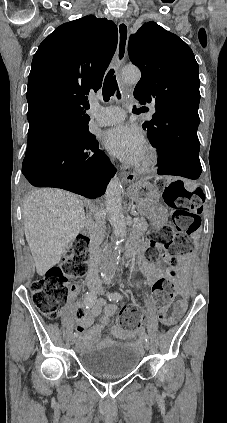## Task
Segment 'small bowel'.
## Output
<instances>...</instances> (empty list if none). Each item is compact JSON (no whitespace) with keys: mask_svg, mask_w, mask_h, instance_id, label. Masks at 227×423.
Segmentation results:
<instances>
[{"mask_svg":"<svg viewBox=\"0 0 227 423\" xmlns=\"http://www.w3.org/2000/svg\"><path fill=\"white\" fill-rule=\"evenodd\" d=\"M139 267L143 272L146 283L148 285H154L163 275L164 271L153 261L142 256L139 259ZM181 296L182 298L175 302L173 307V312L168 315L167 311H160L158 315L150 309L146 317L151 324H153L157 319L166 326L174 325L183 315L188 299V293L186 288V282L181 281ZM76 290V287H73ZM117 307L115 304H106L104 301L99 300L93 306L89 307L88 311L81 313L80 321L78 323V332L80 337L77 343L79 349H86L94 345L99 339L103 329L109 324L110 319L115 315ZM103 312V316L99 319L97 323L94 324L95 318ZM112 332L115 337L124 339V338H139L140 340L144 336V329L138 328L132 331H124L118 327H113ZM111 339H105L104 343L111 342Z\"/></svg>","mask_w":227,"mask_h":423,"instance_id":"1","label":"small bowel"}]
</instances>
